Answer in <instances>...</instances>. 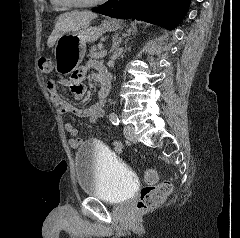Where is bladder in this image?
<instances>
[{"instance_id":"bladder-1","label":"bladder","mask_w":240,"mask_h":238,"mask_svg":"<svg viewBox=\"0 0 240 238\" xmlns=\"http://www.w3.org/2000/svg\"><path fill=\"white\" fill-rule=\"evenodd\" d=\"M80 190L89 197L120 204L132 197L136 179L130 169L108 148L87 142L75 155Z\"/></svg>"}]
</instances>
